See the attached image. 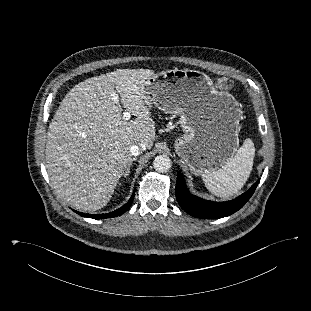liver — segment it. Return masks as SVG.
<instances>
[{"instance_id": "obj_1", "label": "liver", "mask_w": 311, "mask_h": 311, "mask_svg": "<svg viewBox=\"0 0 311 311\" xmlns=\"http://www.w3.org/2000/svg\"><path fill=\"white\" fill-rule=\"evenodd\" d=\"M154 75L149 69H118L80 82L60 103L47 132L46 168L71 206L103 208L132 160L130 147L151 149L156 130L144 86ZM115 92L134 121L123 119L111 99Z\"/></svg>"}]
</instances>
